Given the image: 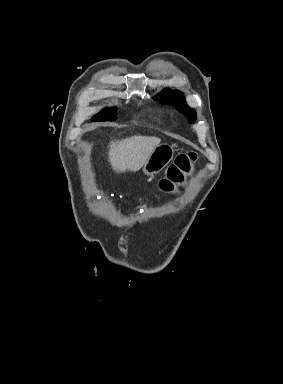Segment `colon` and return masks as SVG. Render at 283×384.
I'll return each mask as SVG.
<instances>
[{"instance_id":"obj_1","label":"colon","mask_w":283,"mask_h":384,"mask_svg":"<svg viewBox=\"0 0 283 384\" xmlns=\"http://www.w3.org/2000/svg\"><path fill=\"white\" fill-rule=\"evenodd\" d=\"M197 162V154L193 151L178 155L174 163L169 167L167 175L160 181V188L164 192H170L175 185L184 181V178L191 173Z\"/></svg>"}]
</instances>
